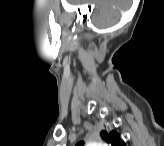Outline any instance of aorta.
Masks as SVG:
<instances>
[{
	"label": "aorta",
	"instance_id": "762f6f07",
	"mask_svg": "<svg viewBox=\"0 0 164 146\" xmlns=\"http://www.w3.org/2000/svg\"><path fill=\"white\" fill-rule=\"evenodd\" d=\"M90 146H104V143L100 141H91L88 143Z\"/></svg>",
	"mask_w": 164,
	"mask_h": 146
}]
</instances>
